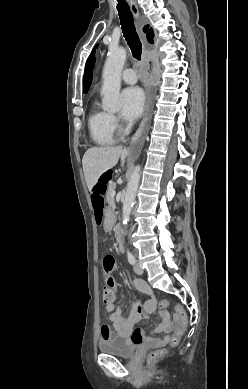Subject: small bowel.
<instances>
[{"label":"small bowel","instance_id":"c3829d8e","mask_svg":"<svg viewBox=\"0 0 248 389\" xmlns=\"http://www.w3.org/2000/svg\"><path fill=\"white\" fill-rule=\"evenodd\" d=\"M133 287L146 294L151 298L144 304L139 301L134 302L132 307L125 312L123 309L116 306L117 292H111L114 295V299L106 304V311L108 313L111 326L104 325L101 328V338L105 339L111 334H117L121 337L131 340L135 344H146L149 347H156L168 340V336L158 337L157 335H164L171 332L175 326L176 321L173 320L170 314L166 311L161 312L162 322L152 332L146 333L141 329H134L137 324L146 314H149L155 310L156 300L153 297V293L150 287L141 279L132 280ZM119 289V286H118ZM136 339V341H134Z\"/></svg>","mask_w":248,"mask_h":389}]
</instances>
